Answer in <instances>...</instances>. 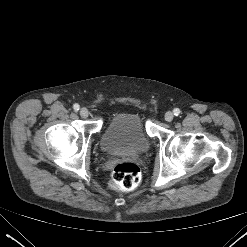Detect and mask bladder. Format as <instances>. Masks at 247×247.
Here are the masks:
<instances>
[{
    "instance_id": "31cf9c89",
    "label": "bladder",
    "mask_w": 247,
    "mask_h": 247,
    "mask_svg": "<svg viewBox=\"0 0 247 247\" xmlns=\"http://www.w3.org/2000/svg\"><path fill=\"white\" fill-rule=\"evenodd\" d=\"M100 147L107 154H139L148 151L150 138L143 118L134 112L114 115L105 126Z\"/></svg>"
}]
</instances>
